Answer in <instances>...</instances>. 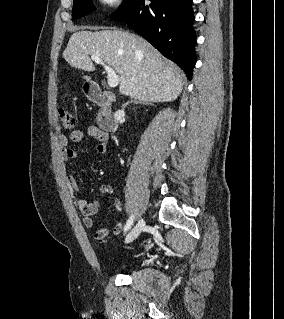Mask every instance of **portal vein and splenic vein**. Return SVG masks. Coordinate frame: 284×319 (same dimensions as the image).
Wrapping results in <instances>:
<instances>
[{
  "instance_id": "18ae733b",
  "label": "portal vein and splenic vein",
  "mask_w": 284,
  "mask_h": 319,
  "mask_svg": "<svg viewBox=\"0 0 284 319\" xmlns=\"http://www.w3.org/2000/svg\"><path fill=\"white\" fill-rule=\"evenodd\" d=\"M91 59L97 63V64H101L105 71L107 72L108 74V85L109 87L111 88H115L118 86L119 84V76L116 75L114 69L112 67H110V65H107L102 59H100L99 57H95V56H92Z\"/></svg>"
}]
</instances>
